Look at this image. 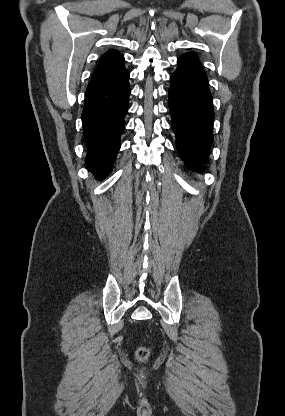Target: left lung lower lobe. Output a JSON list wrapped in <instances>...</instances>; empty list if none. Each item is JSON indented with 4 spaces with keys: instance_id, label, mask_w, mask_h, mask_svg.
Wrapping results in <instances>:
<instances>
[{
    "instance_id": "obj_1",
    "label": "left lung lower lobe",
    "mask_w": 285,
    "mask_h": 416,
    "mask_svg": "<svg viewBox=\"0 0 285 416\" xmlns=\"http://www.w3.org/2000/svg\"><path fill=\"white\" fill-rule=\"evenodd\" d=\"M177 64L168 92L176 148L188 169L202 172L213 142L212 96L198 58L183 55Z\"/></svg>"
}]
</instances>
